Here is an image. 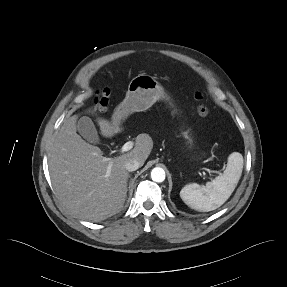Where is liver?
<instances>
[{
  "label": "liver",
  "mask_w": 287,
  "mask_h": 287,
  "mask_svg": "<svg viewBox=\"0 0 287 287\" xmlns=\"http://www.w3.org/2000/svg\"><path fill=\"white\" fill-rule=\"evenodd\" d=\"M101 134L112 137L119 123L98 118ZM77 116L64 120L48 154L51 182L63 205L83 220L99 222L118 213L127 196L128 159L141 166L153 148L148 134H139L135 147L120 156L106 158L99 147L90 145L77 134ZM108 166L110 175L106 177Z\"/></svg>",
  "instance_id": "liver-1"
}]
</instances>
